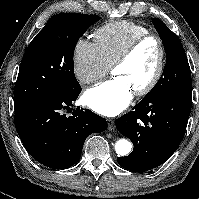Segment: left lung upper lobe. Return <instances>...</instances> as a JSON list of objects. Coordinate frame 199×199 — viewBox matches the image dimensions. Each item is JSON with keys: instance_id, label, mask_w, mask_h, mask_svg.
Listing matches in <instances>:
<instances>
[{"instance_id": "1", "label": "left lung upper lobe", "mask_w": 199, "mask_h": 199, "mask_svg": "<svg viewBox=\"0 0 199 199\" xmlns=\"http://www.w3.org/2000/svg\"><path fill=\"white\" fill-rule=\"evenodd\" d=\"M152 21L164 45L166 65L160 80L141 101L174 92H192L191 71L180 39L161 20L153 18Z\"/></svg>"}]
</instances>
